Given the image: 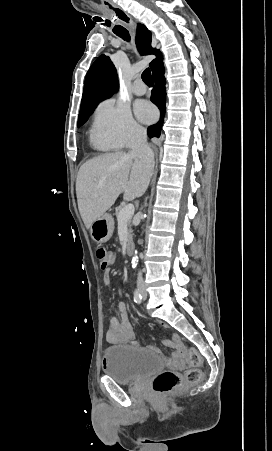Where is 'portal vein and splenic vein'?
<instances>
[{"instance_id": "portal-vein-and-splenic-vein-1", "label": "portal vein and splenic vein", "mask_w": 272, "mask_h": 451, "mask_svg": "<svg viewBox=\"0 0 272 451\" xmlns=\"http://www.w3.org/2000/svg\"><path fill=\"white\" fill-rule=\"evenodd\" d=\"M135 208L133 204H127L123 210H120L119 216L117 218L118 224H126L128 220H131L132 216H134Z\"/></svg>"}]
</instances>
